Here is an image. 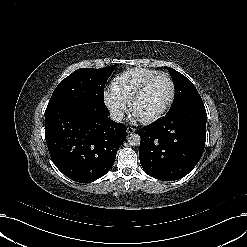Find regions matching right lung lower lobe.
<instances>
[{
  "instance_id": "98d812e1",
  "label": "right lung lower lobe",
  "mask_w": 247,
  "mask_h": 247,
  "mask_svg": "<svg viewBox=\"0 0 247 247\" xmlns=\"http://www.w3.org/2000/svg\"><path fill=\"white\" fill-rule=\"evenodd\" d=\"M45 139L50 157L68 178L90 183L113 166L126 126L108 118L104 102H64L47 107Z\"/></svg>"
}]
</instances>
